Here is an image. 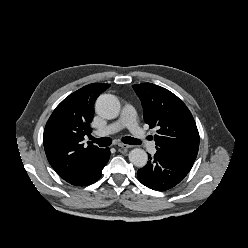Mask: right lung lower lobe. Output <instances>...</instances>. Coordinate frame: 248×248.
<instances>
[{
	"mask_svg": "<svg viewBox=\"0 0 248 248\" xmlns=\"http://www.w3.org/2000/svg\"><path fill=\"white\" fill-rule=\"evenodd\" d=\"M109 158V148L100 149L90 158L77 175L66 181L75 186H87L94 183L101 177L102 169L107 164Z\"/></svg>",
	"mask_w": 248,
	"mask_h": 248,
	"instance_id": "1",
	"label": "right lung lower lobe"
}]
</instances>
